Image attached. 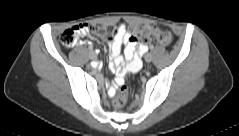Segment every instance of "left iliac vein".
<instances>
[{"label": "left iliac vein", "mask_w": 239, "mask_h": 136, "mask_svg": "<svg viewBox=\"0 0 239 136\" xmlns=\"http://www.w3.org/2000/svg\"><path fill=\"white\" fill-rule=\"evenodd\" d=\"M144 59L147 63H149L152 61V55L150 53H148L145 55Z\"/></svg>", "instance_id": "1"}]
</instances>
